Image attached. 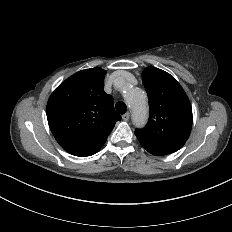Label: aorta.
<instances>
[{
    "label": "aorta",
    "instance_id": "aorta-1",
    "mask_svg": "<svg viewBox=\"0 0 232 232\" xmlns=\"http://www.w3.org/2000/svg\"><path fill=\"white\" fill-rule=\"evenodd\" d=\"M124 98L130 105L132 110V121L137 127H142L148 118V107L145 93L137 88H132L131 85H124Z\"/></svg>",
    "mask_w": 232,
    "mask_h": 232
}]
</instances>
